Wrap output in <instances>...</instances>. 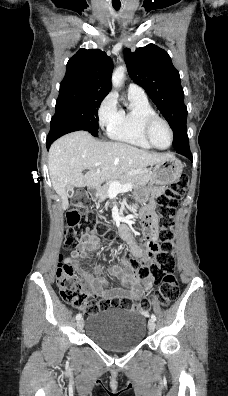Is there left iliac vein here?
<instances>
[{"instance_id":"4c4485c4","label":"left iliac vein","mask_w":228,"mask_h":396,"mask_svg":"<svg viewBox=\"0 0 228 396\" xmlns=\"http://www.w3.org/2000/svg\"><path fill=\"white\" fill-rule=\"evenodd\" d=\"M155 328H156L155 321L153 319H150L149 322H148L149 331L152 333V332H154Z\"/></svg>"}]
</instances>
